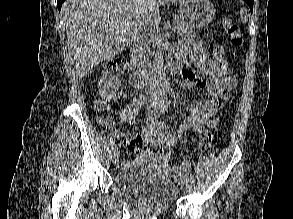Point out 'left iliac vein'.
Wrapping results in <instances>:
<instances>
[{
    "instance_id": "obj_1",
    "label": "left iliac vein",
    "mask_w": 293,
    "mask_h": 219,
    "mask_svg": "<svg viewBox=\"0 0 293 219\" xmlns=\"http://www.w3.org/2000/svg\"><path fill=\"white\" fill-rule=\"evenodd\" d=\"M166 105V100H162L159 104H158V107H159V110H162ZM182 183L187 187L188 186V183H189V177H188V174L187 172H185L184 170V173H183V177H182Z\"/></svg>"
}]
</instances>
